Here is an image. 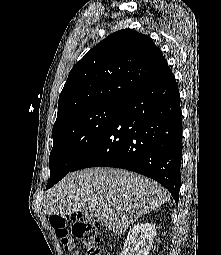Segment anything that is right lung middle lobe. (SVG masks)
Listing matches in <instances>:
<instances>
[{"instance_id":"obj_1","label":"right lung middle lobe","mask_w":221,"mask_h":255,"mask_svg":"<svg viewBox=\"0 0 221 255\" xmlns=\"http://www.w3.org/2000/svg\"><path fill=\"white\" fill-rule=\"evenodd\" d=\"M119 105L104 103L84 108L53 126L47 189L71 171L103 132Z\"/></svg>"}]
</instances>
